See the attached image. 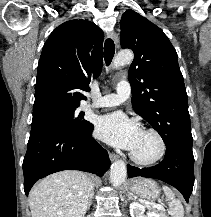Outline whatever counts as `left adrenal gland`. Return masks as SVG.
I'll return each instance as SVG.
<instances>
[{
  "label": "left adrenal gland",
  "instance_id": "a2214340",
  "mask_svg": "<svg viewBox=\"0 0 211 217\" xmlns=\"http://www.w3.org/2000/svg\"><path fill=\"white\" fill-rule=\"evenodd\" d=\"M133 199V194L131 192H128V200Z\"/></svg>",
  "mask_w": 211,
  "mask_h": 217
}]
</instances>
